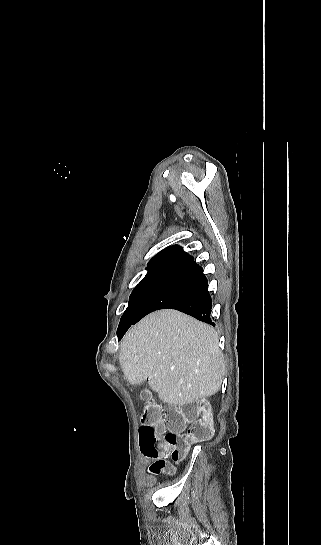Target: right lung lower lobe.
I'll use <instances>...</instances> for the list:
<instances>
[{
    "mask_svg": "<svg viewBox=\"0 0 321 545\" xmlns=\"http://www.w3.org/2000/svg\"><path fill=\"white\" fill-rule=\"evenodd\" d=\"M211 305L212 300L203 269L192 260L168 277L135 318L120 322L118 338L120 340L131 325L150 312L164 308L179 310L214 325L210 319Z\"/></svg>",
    "mask_w": 321,
    "mask_h": 545,
    "instance_id": "right-lung-lower-lobe-1",
    "label": "right lung lower lobe"
}]
</instances>
